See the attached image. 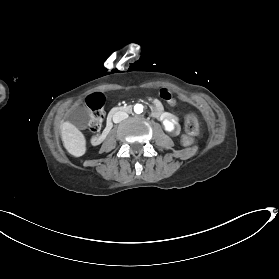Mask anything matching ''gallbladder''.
Here are the masks:
<instances>
[{
  "label": "gallbladder",
  "instance_id": "obj_1",
  "mask_svg": "<svg viewBox=\"0 0 279 279\" xmlns=\"http://www.w3.org/2000/svg\"><path fill=\"white\" fill-rule=\"evenodd\" d=\"M93 112L91 108L84 106L80 109L71 108L68 111V119L72 122L74 126H79L81 130H86L88 128L87 120L91 119Z\"/></svg>",
  "mask_w": 279,
  "mask_h": 279
}]
</instances>
